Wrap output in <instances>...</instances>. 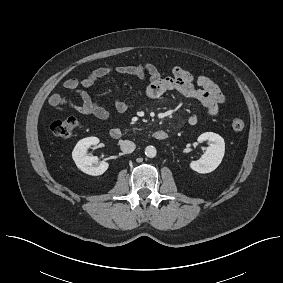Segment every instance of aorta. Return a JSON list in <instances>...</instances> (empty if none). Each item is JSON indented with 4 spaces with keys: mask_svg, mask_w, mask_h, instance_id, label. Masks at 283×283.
<instances>
[{
    "mask_svg": "<svg viewBox=\"0 0 283 283\" xmlns=\"http://www.w3.org/2000/svg\"><path fill=\"white\" fill-rule=\"evenodd\" d=\"M157 154V150L154 146H147L145 148V155L149 158H154Z\"/></svg>",
    "mask_w": 283,
    "mask_h": 283,
    "instance_id": "1",
    "label": "aorta"
}]
</instances>
